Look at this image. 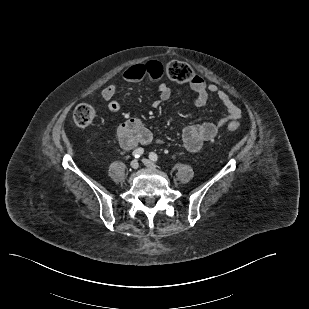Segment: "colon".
I'll use <instances>...</instances> for the list:
<instances>
[{"label": "colon", "instance_id": "obj_1", "mask_svg": "<svg viewBox=\"0 0 309 309\" xmlns=\"http://www.w3.org/2000/svg\"><path fill=\"white\" fill-rule=\"evenodd\" d=\"M164 72L169 79L177 83H190L196 77L191 66L182 61L168 62L164 67ZM96 118H97L96 109L92 105L87 103L79 104L73 112L74 122L80 127H87L92 125L96 120ZM227 128L230 131H236L239 129V123L229 122L227 124Z\"/></svg>", "mask_w": 309, "mask_h": 309}]
</instances>
